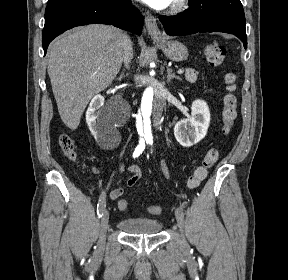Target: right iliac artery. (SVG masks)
I'll use <instances>...</instances> for the list:
<instances>
[{"mask_svg":"<svg viewBox=\"0 0 288 280\" xmlns=\"http://www.w3.org/2000/svg\"><path fill=\"white\" fill-rule=\"evenodd\" d=\"M145 148V143L144 142H140V144L136 147L134 153H133V157L136 158L138 157L142 151L144 150ZM105 207H106V195L105 193L103 192L101 195H100V198H99V201H98V204H97V215L98 217H102L104 211H105Z\"/></svg>","mask_w":288,"mask_h":280,"instance_id":"82829eb1","label":"right iliac artery"}]
</instances>
